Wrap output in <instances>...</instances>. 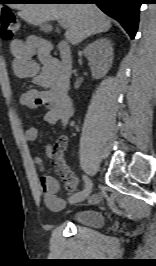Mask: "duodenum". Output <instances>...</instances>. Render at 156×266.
I'll return each instance as SVG.
<instances>
[{
  "label": "duodenum",
  "instance_id": "1",
  "mask_svg": "<svg viewBox=\"0 0 156 266\" xmlns=\"http://www.w3.org/2000/svg\"><path fill=\"white\" fill-rule=\"evenodd\" d=\"M42 50L49 54V45L45 44ZM58 53L60 57V61L57 63L58 76L64 84L68 85L73 64L70 45L66 41L60 42L58 45Z\"/></svg>",
  "mask_w": 156,
  "mask_h": 266
}]
</instances>
